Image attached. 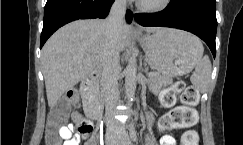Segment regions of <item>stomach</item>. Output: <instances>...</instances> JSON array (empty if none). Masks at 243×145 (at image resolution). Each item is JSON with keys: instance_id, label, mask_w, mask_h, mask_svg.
I'll use <instances>...</instances> for the list:
<instances>
[{"instance_id": "1", "label": "stomach", "mask_w": 243, "mask_h": 145, "mask_svg": "<svg viewBox=\"0 0 243 145\" xmlns=\"http://www.w3.org/2000/svg\"><path fill=\"white\" fill-rule=\"evenodd\" d=\"M137 39L156 70L170 80L189 73L203 52L197 37L177 29L160 28Z\"/></svg>"}]
</instances>
